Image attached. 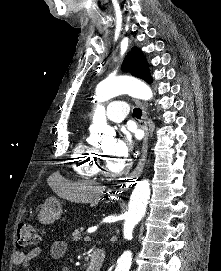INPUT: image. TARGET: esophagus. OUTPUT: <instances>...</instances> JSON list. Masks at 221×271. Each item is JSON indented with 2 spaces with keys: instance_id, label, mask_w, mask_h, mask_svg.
<instances>
[{
  "instance_id": "1",
  "label": "esophagus",
  "mask_w": 221,
  "mask_h": 271,
  "mask_svg": "<svg viewBox=\"0 0 221 271\" xmlns=\"http://www.w3.org/2000/svg\"><path fill=\"white\" fill-rule=\"evenodd\" d=\"M136 104L140 105L142 108V118L140 120V126L144 130V138L142 142V147H141V156L139 159V162L135 168V170L132 171L129 175V179L136 178L139 176L144 168L146 158H147V149H148V139H149V130H148V125H147V112L144 107V105L139 101V100H134Z\"/></svg>"
}]
</instances>
